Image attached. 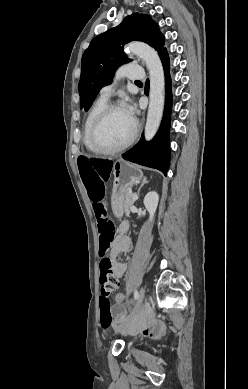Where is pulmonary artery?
I'll use <instances>...</instances> for the list:
<instances>
[{"mask_svg": "<svg viewBox=\"0 0 248 389\" xmlns=\"http://www.w3.org/2000/svg\"><path fill=\"white\" fill-rule=\"evenodd\" d=\"M116 79L127 78L130 80H140L142 78V68L134 64H125L116 71ZM115 82L102 87L100 97L109 99L114 92Z\"/></svg>", "mask_w": 248, "mask_h": 389, "instance_id": "e3ab8cb5", "label": "pulmonary artery"}]
</instances>
